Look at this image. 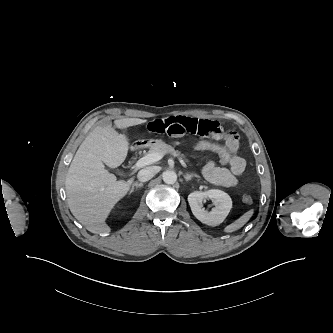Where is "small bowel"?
Masks as SVG:
<instances>
[{"mask_svg":"<svg viewBox=\"0 0 333 333\" xmlns=\"http://www.w3.org/2000/svg\"><path fill=\"white\" fill-rule=\"evenodd\" d=\"M149 133L165 134L173 138L194 136L211 138L228 150L229 162L217 166L209 161L203 167L204 177L212 184L234 187L239 183V176L245 170V160L238 154V137L234 131L224 129L219 122L210 119H198L187 116H168L157 118L145 125Z\"/></svg>","mask_w":333,"mask_h":333,"instance_id":"c3829d8e","label":"small bowel"}]
</instances>
